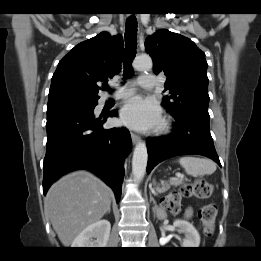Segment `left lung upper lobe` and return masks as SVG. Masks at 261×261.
<instances>
[{"label":"left lung upper lobe","instance_id":"left-lung-upper-lobe-1","mask_svg":"<svg viewBox=\"0 0 261 261\" xmlns=\"http://www.w3.org/2000/svg\"><path fill=\"white\" fill-rule=\"evenodd\" d=\"M145 49L156 75L167 76L162 105L175 117L182 114L209 119L208 64L205 54L189 38L162 29L148 36Z\"/></svg>","mask_w":261,"mask_h":261}]
</instances>
